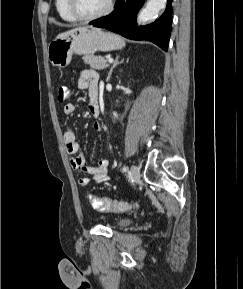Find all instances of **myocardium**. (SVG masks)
I'll list each match as a JSON object with an SVG mask.
<instances>
[{
    "mask_svg": "<svg viewBox=\"0 0 243 289\" xmlns=\"http://www.w3.org/2000/svg\"><path fill=\"white\" fill-rule=\"evenodd\" d=\"M67 1H68V9L71 15L80 21H93V20L103 18L107 16L108 14H110L114 7V0H108L106 7L101 12L91 15V16H85V15L80 14L77 11L75 0H67Z\"/></svg>",
    "mask_w": 243,
    "mask_h": 289,
    "instance_id": "obj_1",
    "label": "myocardium"
}]
</instances>
